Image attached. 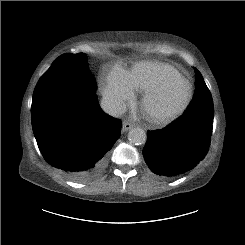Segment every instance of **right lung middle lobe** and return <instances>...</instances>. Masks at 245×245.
<instances>
[{
	"label": "right lung middle lobe",
	"instance_id": "obj_1",
	"mask_svg": "<svg viewBox=\"0 0 245 245\" xmlns=\"http://www.w3.org/2000/svg\"><path fill=\"white\" fill-rule=\"evenodd\" d=\"M95 89L96 80L88 68L87 55L66 53L39 79L33 92L32 109L65 95L94 94Z\"/></svg>",
	"mask_w": 245,
	"mask_h": 245
}]
</instances>
